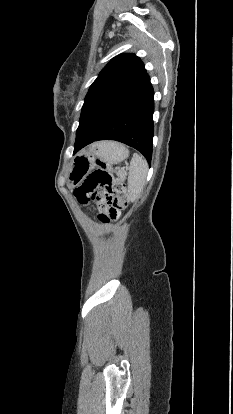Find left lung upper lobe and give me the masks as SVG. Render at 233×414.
Listing matches in <instances>:
<instances>
[{
    "label": "left lung upper lobe",
    "instance_id": "5c2ea615",
    "mask_svg": "<svg viewBox=\"0 0 233 414\" xmlns=\"http://www.w3.org/2000/svg\"><path fill=\"white\" fill-rule=\"evenodd\" d=\"M143 62L134 54H121L112 59L90 86L82 107L101 98L118 93L145 76Z\"/></svg>",
    "mask_w": 233,
    "mask_h": 414
}]
</instances>
